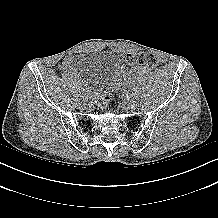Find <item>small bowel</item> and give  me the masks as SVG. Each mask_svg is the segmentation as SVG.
<instances>
[{
    "mask_svg": "<svg viewBox=\"0 0 218 218\" xmlns=\"http://www.w3.org/2000/svg\"><path fill=\"white\" fill-rule=\"evenodd\" d=\"M59 69L66 74H73V57L67 56L59 65Z\"/></svg>",
    "mask_w": 218,
    "mask_h": 218,
    "instance_id": "1",
    "label": "small bowel"
}]
</instances>
